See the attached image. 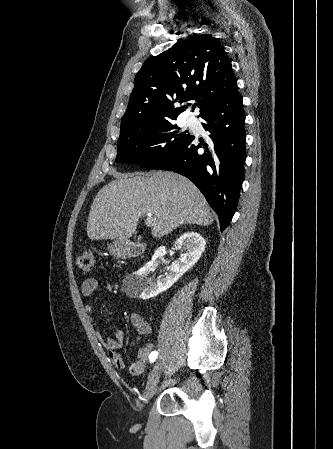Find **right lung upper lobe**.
<instances>
[{
	"label": "right lung upper lobe",
	"instance_id": "1",
	"mask_svg": "<svg viewBox=\"0 0 333 449\" xmlns=\"http://www.w3.org/2000/svg\"><path fill=\"white\" fill-rule=\"evenodd\" d=\"M239 94L224 47L211 35H196L148 59L135 77L119 140L134 137L175 120L197 101L200 116L220 100Z\"/></svg>",
	"mask_w": 333,
	"mask_h": 449
}]
</instances>
